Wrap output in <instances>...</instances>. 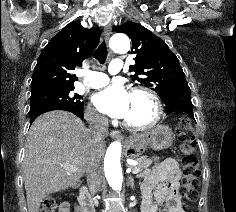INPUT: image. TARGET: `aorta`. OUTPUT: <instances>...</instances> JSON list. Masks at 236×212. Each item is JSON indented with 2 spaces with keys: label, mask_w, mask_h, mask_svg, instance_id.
<instances>
[{
  "label": "aorta",
  "mask_w": 236,
  "mask_h": 212,
  "mask_svg": "<svg viewBox=\"0 0 236 212\" xmlns=\"http://www.w3.org/2000/svg\"><path fill=\"white\" fill-rule=\"evenodd\" d=\"M110 47L115 53H126L130 50V40L123 33L115 34L110 39ZM122 145L119 141L112 142L105 155L104 170L109 186L114 191H121L123 175L120 163Z\"/></svg>",
  "instance_id": "1"
}]
</instances>
